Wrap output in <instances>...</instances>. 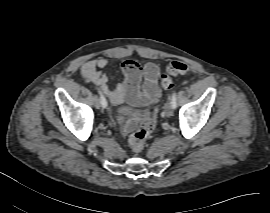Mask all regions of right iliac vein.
<instances>
[{
    "label": "right iliac vein",
    "instance_id": "1",
    "mask_svg": "<svg viewBox=\"0 0 270 213\" xmlns=\"http://www.w3.org/2000/svg\"><path fill=\"white\" fill-rule=\"evenodd\" d=\"M93 103H94V105H95V107H96L97 109H99V108L101 107L100 100H99V98H98L97 96H95V97L93 98Z\"/></svg>",
    "mask_w": 270,
    "mask_h": 213
}]
</instances>
